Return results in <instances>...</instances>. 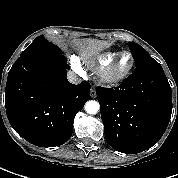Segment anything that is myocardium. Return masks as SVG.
Wrapping results in <instances>:
<instances>
[{"label":"myocardium","mask_w":178,"mask_h":178,"mask_svg":"<svg viewBox=\"0 0 178 178\" xmlns=\"http://www.w3.org/2000/svg\"><path fill=\"white\" fill-rule=\"evenodd\" d=\"M128 54L131 57V65L130 67L122 73H115L114 69L118 64L119 59L124 55ZM135 66V59L131 52L122 51L120 52L116 58L106 66L100 73L99 79L100 81L107 86H116L126 80L130 74L132 73Z\"/></svg>","instance_id":"1"}]
</instances>
